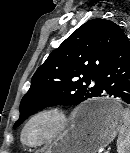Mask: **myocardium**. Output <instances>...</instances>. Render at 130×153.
<instances>
[{
    "label": "myocardium",
    "instance_id": "f54148a6",
    "mask_svg": "<svg viewBox=\"0 0 130 153\" xmlns=\"http://www.w3.org/2000/svg\"><path fill=\"white\" fill-rule=\"evenodd\" d=\"M41 119H48L52 122V129L48 134L38 141L32 142L26 139V133L30 126ZM71 121L69 113L57 106H49L42 108L33 113L23 124L20 131L21 143L29 148H38L47 144L52 143L59 138L67 129Z\"/></svg>",
    "mask_w": 130,
    "mask_h": 153
}]
</instances>
